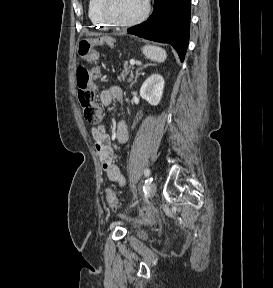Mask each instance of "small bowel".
Listing matches in <instances>:
<instances>
[{
	"mask_svg": "<svg viewBox=\"0 0 273 288\" xmlns=\"http://www.w3.org/2000/svg\"><path fill=\"white\" fill-rule=\"evenodd\" d=\"M122 98L121 88L115 85L104 89L100 94V101L105 106L110 105L113 99L121 101ZM115 134L119 143H125L128 140V130L124 122H118ZM92 135L107 178L123 186L125 184V178L116 163L114 150L105 126L102 124L94 126L92 128Z\"/></svg>",
	"mask_w": 273,
	"mask_h": 288,
	"instance_id": "small-bowel-1",
	"label": "small bowel"
}]
</instances>
